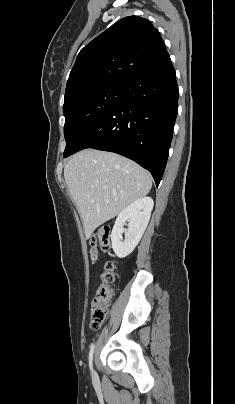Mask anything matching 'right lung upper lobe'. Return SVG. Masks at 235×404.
<instances>
[{"label": "right lung upper lobe", "mask_w": 235, "mask_h": 404, "mask_svg": "<svg viewBox=\"0 0 235 404\" xmlns=\"http://www.w3.org/2000/svg\"><path fill=\"white\" fill-rule=\"evenodd\" d=\"M168 57L159 31L149 20L125 17L80 51L67 81L64 103L103 84H124Z\"/></svg>", "instance_id": "obj_1"}]
</instances>
